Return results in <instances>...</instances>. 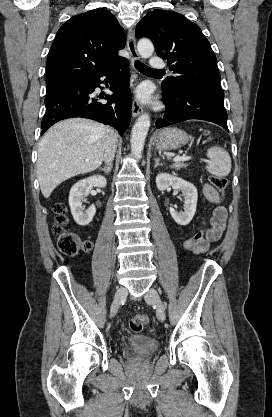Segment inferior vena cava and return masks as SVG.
Returning a JSON list of instances; mask_svg holds the SVG:
<instances>
[{
  "label": "inferior vena cava",
  "mask_w": 272,
  "mask_h": 417,
  "mask_svg": "<svg viewBox=\"0 0 272 417\" xmlns=\"http://www.w3.org/2000/svg\"><path fill=\"white\" fill-rule=\"evenodd\" d=\"M117 147V133L114 130H109V135L105 140V151H104V161L105 163L112 164V161L115 156V151Z\"/></svg>",
  "instance_id": "inferior-vena-cava-1"
}]
</instances>
